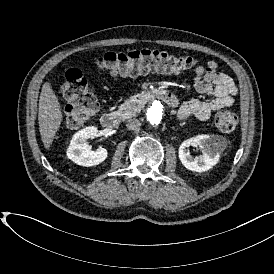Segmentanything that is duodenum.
Listing matches in <instances>:
<instances>
[{
  "label": "duodenum",
  "instance_id": "410a0bca",
  "mask_svg": "<svg viewBox=\"0 0 274 274\" xmlns=\"http://www.w3.org/2000/svg\"><path fill=\"white\" fill-rule=\"evenodd\" d=\"M154 99H159L167 103L171 108H177L179 101L175 94L165 89L156 88L145 90L137 96L140 102H149ZM120 116L115 112H105L101 116V123L108 130H115L120 126Z\"/></svg>",
  "mask_w": 274,
  "mask_h": 274
}]
</instances>
